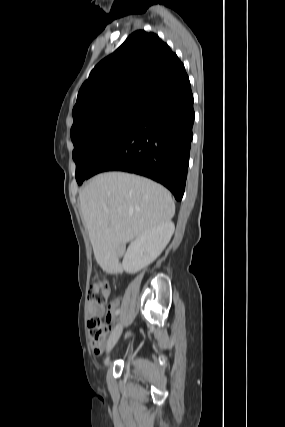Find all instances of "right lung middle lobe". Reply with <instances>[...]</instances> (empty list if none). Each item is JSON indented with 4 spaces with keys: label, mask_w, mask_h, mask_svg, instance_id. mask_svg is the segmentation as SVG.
<instances>
[{
    "label": "right lung middle lobe",
    "mask_w": 285,
    "mask_h": 427,
    "mask_svg": "<svg viewBox=\"0 0 285 427\" xmlns=\"http://www.w3.org/2000/svg\"><path fill=\"white\" fill-rule=\"evenodd\" d=\"M142 110L143 105L127 106L86 123L71 133L78 184H82L102 158L119 143Z\"/></svg>",
    "instance_id": "obj_1"
}]
</instances>
